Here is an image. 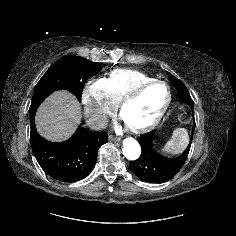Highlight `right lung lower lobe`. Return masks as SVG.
Segmentation results:
<instances>
[{
	"label": "right lung lower lobe",
	"instance_id": "1",
	"mask_svg": "<svg viewBox=\"0 0 236 236\" xmlns=\"http://www.w3.org/2000/svg\"><path fill=\"white\" fill-rule=\"evenodd\" d=\"M36 110L37 108L29 111L30 142L43 171L61 182L71 183L85 178L96 163L98 149L107 143L108 135L79 126L75 134L65 142L47 141L36 130Z\"/></svg>",
	"mask_w": 236,
	"mask_h": 236
}]
</instances>
